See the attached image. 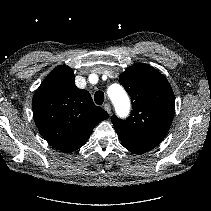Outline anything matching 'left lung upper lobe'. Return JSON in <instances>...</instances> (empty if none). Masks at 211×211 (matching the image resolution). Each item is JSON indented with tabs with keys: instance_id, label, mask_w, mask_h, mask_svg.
<instances>
[{
	"instance_id": "5c2ea615",
	"label": "left lung upper lobe",
	"mask_w": 211,
	"mask_h": 211,
	"mask_svg": "<svg viewBox=\"0 0 211 211\" xmlns=\"http://www.w3.org/2000/svg\"><path fill=\"white\" fill-rule=\"evenodd\" d=\"M119 82L131 96L132 112L126 120L115 115L113 126L122 144L154 148L165 138L175 113V97L167 79L152 66L129 67Z\"/></svg>"
}]
</instances>
